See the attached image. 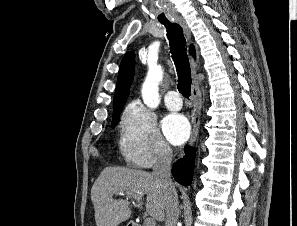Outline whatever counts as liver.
Here are the masks:
<instances>
[{
	"label": "liver",
	"instance_id": "liver-1",
	"mask_svg": "<svg viewBox=\"0 0 297 226\" xmlns=\"http://www.w3.org/2000/svg\"><path fill=\"white\" fill-rule=\"evenodd\" d=\"M124 193L126 199H114ZM146 195V211L162 222L165 218L166 195L160 181L152 173L125 167H106L91 189L97 226H117L130 218V198Z\"/></svg>",
	"mask_w": 297,
	"mask_h": 226
}]
</instances>
